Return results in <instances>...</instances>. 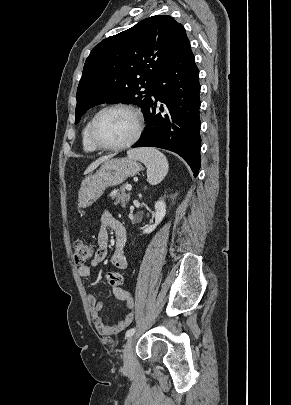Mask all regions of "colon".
I'll use <instances>...</instances> for the list:
<instances>
[{
	"label": "colon",
	"mask_w": 291,
	"mask_h": 405,
	"mask_svg": "<svg viewBox=\"0 0 291 405\" xmlns=\"http://www.w3.org/2000/svg\"><path fill=\"white\" fill-rule=\"evenodd\" d=\"M74 248V262L78 267L86 265L87 261L93 256V247L85 240L77 239L73 244ZM106 280L111 286H121L123 277L115 271L106 272Z\"/></svg>",
	"instance_id": "5ec220e1"
}]
</instances>
